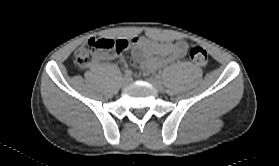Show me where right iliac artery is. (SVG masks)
Instances as JSON below:
<instances>
[{
	"label": "right iliac artery",
	"mask_w": 279,
	"mask_h": 166,
	"mask_svg": "<svg viewBox=\"0 0 279 166\" xmlns=\"http://www.w3.org/2000/svg\"><path fill=\"white\" fill-rule=\"evenodd\" d=\"M124 75H125V77H130L132 75V71L126 70Z\"/></svg>",
	"instance_id": "1"
}]
</instances>
